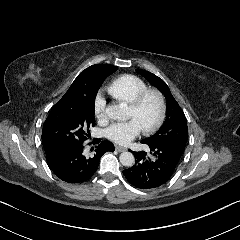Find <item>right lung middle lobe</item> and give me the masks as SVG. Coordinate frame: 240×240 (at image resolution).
<instances>
[{"instance_id":"right-lung-middle-lobe-1","label":"right lung middle lobe","mask_w":240,"mask_h":240,"mask_svg":"<svg viewBox=\"0 0 240 240\" xmlns=\"http://www.w3.org/2000/svg\"><path fill=\"white\" fill-rule=\"evenodd\" d=\"M106 77H84L73 83L51 109L43 125V146L83 143L95 125V98Z\"/></svg>"}]
</instances>
